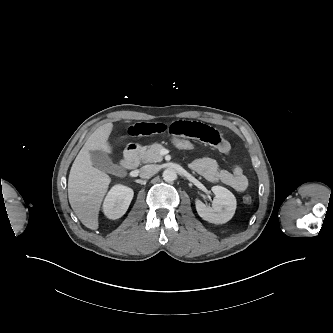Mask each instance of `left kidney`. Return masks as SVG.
Listing matches in <instances>:
<instances>
[{"label":"left kidney","instance_id":"1","mask_svg":"<svg viewBox=\"0 0 333 333\" xmlns=\"http://www.w3.org/2000/svg\"><path fill=\"white\" fill-rule=\"evenodd\" d=\"M212 191L215 194L213 206H206L201 200L196 199L195 205L197 213L207 222L224 224L228 222L235 213L236 198L228 189L222 186H213Z\"/></svg>","mask_w":333,"mask_h":333}]
</instances>
